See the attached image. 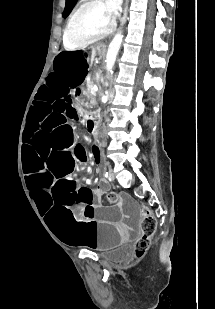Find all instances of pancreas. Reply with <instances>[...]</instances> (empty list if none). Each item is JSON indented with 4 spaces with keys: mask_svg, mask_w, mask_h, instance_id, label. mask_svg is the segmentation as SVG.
<instances>
[{
    "mask_svg": "<svg viewBox=\"0 0 215 309\" xmlns=\"http://www.w3.org/2000/svg\"><path fill=\"white\" fill-rule=\"evenodd\" d=\"M93 84H94V80H92V78L91 80H87L86 86H87V90H90V92L93 88ZM89 100H90V104H96L97 100L95 98V94H91Z\"/></svg>",
    "mask_w": 215,
    "mask_h": 309,
    "instance_id": "obj_1",
    "label": "pancreas"
}]
</instances>
